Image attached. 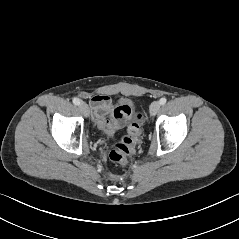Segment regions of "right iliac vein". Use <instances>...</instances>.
Here are the masks:
<instances>
[{
    "label": "right iliac vein",
    "mask_w": 239,
    "mask_h": 239,
    "mask_svg": "<svg viewBox=\"0 0 239 239\" xmlns=\"http://www.w3.org/2000/svg\"><path fill=\"white\" fill-rule=\"evenodd\" d=\"M79 108H80V110L82 111V113H83L86 117L89 116L90 110H89V107H88V105H87L86 103L81 102V103L79 104Z\"/></svg>",
    "instance_id": "obj_1"
}]
</instances>
